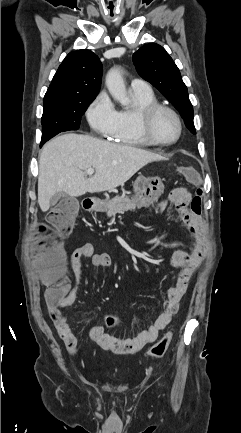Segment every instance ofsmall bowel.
<instances>
[{
	"mask_svg": "<svg viewBox=\"0 0 241 433\" xmlns=\"http://www.w3.org/2000/svg\"><path fill=\"white\" fill-rule=\"evenodd\" d=\"M193 198L192 194L186 188H176L171 192L168 200L160 201L153 208V211L155 212H162L166 208L167 203L171 202L174 204L182 221L188 226L193 238V247L189 252L182 250L174 252L170 259V265L174 268H180V275H187L189 278L200 267L207 253L205 224L199 216L200 212L196 213L192 210ZM83 258H90L91 265L95 268H109L112 264L109 255L94 253L93 246L89 243L81 245L70 255L69 258L70 266L76 277L77 285L82 277ZM186 289L187 287L185 289H180L177 283L175 286L170 287L167 291V299L163 303V311L146 329L141 330L132 337L121 340L112 334L106 333L102 326L90 327L87 330L86 335L104 350L122 354L136 353L143 349L146 344L154 342L157 339L159 332L169 324L173 315L178 310L180 301L185 294ZM76 291L77 286H75L70 293H67V297L59 301L56 305L48 306L49 315L54 323L55 329L68 351L72 354H77L78 352V339L61 309L71 306L74 303ZM116 341L124 342L126 347L120 351L112 349L109 342Z\"/></svg>",
	"mask_w": 241,
	"mask_h": 433,
	"instance_id": "c3829d8e",
	"label": "small bowel"
}]
</instances>
